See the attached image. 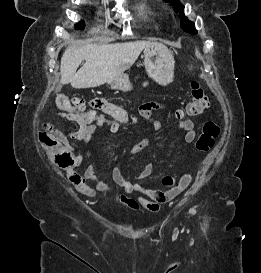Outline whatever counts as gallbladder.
I'll return each mask as SVG.
<instances>
[{
  "label": "gallbladder",
  "mask_w": 261,
  "mask_h": 273,
  "mask_svg": "<svg viewBox=\"0 0 261 273\" xmlns=\"http://www.w3.org/2000/svg\"><path fill=\"white\" fill-rule=\"evenodd\" d=\"M61 88H62V85H58V86L56 87V92L60 91Z\"/></svg>",
  "instance_id": "1"
}]
</instances>
